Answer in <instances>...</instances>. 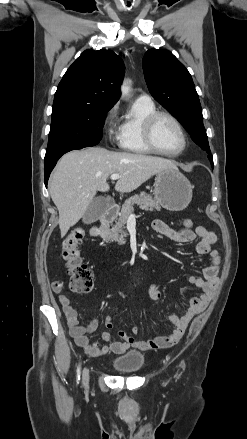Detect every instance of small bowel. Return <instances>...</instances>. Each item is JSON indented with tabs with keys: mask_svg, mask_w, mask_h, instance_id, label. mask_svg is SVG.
<instances>
[{
	"mask_svg": "<svg viewBox=\"0 0 247 439\" xmlns=\"http://www.w3.org/2000/svg\"><path fill=\"white\" fill-rule=\"evenodd\" d=\"M152 227L155 232L175 243L184 244L196 238L199 239L196 245V252L199 255L209 256L211 264L203 269V277L192 275L189 277V282L199 288L201 294L190 300L187 309L181 315H171L167 318V321L174 326L172 333L168 336H158L141 341L133 336H129L124 330H120L118 334L124 341H111L110 333L103 332L102 338L109 342V344L100 345L91 342L93 333L99 326L98 318H93L86 326L79 325L77 311L71 305L70 299L63 293V282L54 281L52 283V290L58 295L66 317L69 333L74 338L75 343L91 357H100L108 353L122 354L129 348L155 350L172 347L182 338L191 319L201 312L212 298L219 281L218 272L220 266V255L216 250H212V246L216 242L215 234L204 226H198L194 231L187 228L176 230L162 220H154ZM149 296L152 300L160 298V291L156 285L150 286ZM105 325L107 328L113 327V320L110 316L106 317ZM131 332L133 335H137L139 332L138 325L135 324Z\"/></svg>",
	"mask_w": 247,
	"mask_h": 439,
	"instance_id": "1",
	"label": "small bowel"
}]
</instances>
